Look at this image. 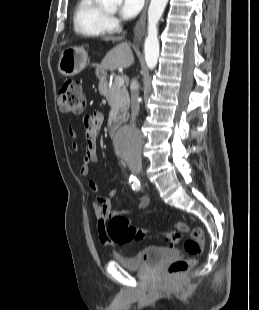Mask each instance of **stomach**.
I'll use <instances>...</instances> for the list:
<instances>
[{"label": "stomach", "instance_id": "obj_1", "mask_svg": "<svg viewBox=\"0 0 259 310\" xmlns=\"http://www.w3.org/2000/svg\"><path fill=\"white\" fill-rule=\"evenodd\" d=\"M88 62V54L83 47H68L62 51L58 70L64 76H74L80 73Z\"/></svg>", "mask_w": 259, "mask_h": 310}]
</instances>
